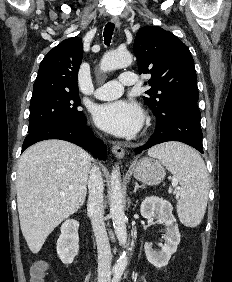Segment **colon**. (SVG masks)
<instances>
[{"label": "colon", "instance_id": "colon-1", "mask_svg": "<svg viewBox=\"0 0 232 282\" xmlns=\"http://www.w3.org/2000/svg\"><path fill=\"white\" fill-rule=\"evenodd\" d=\"M47 264L39 261L34 264L31 271V282H46Z\"/></svg>", "mask_w": 232, "mask_h": 282}]
</instances>
